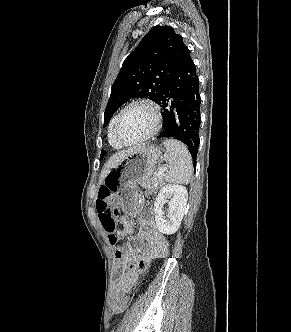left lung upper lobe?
<instances>
[{
	"mask_svg": "<svg viewBox=\"0 0 291 332\" xmlns=\"http://www.w3.org/2000/svg\"><path fill=\"white\" fill-rule=\"evenodd\" d=\"M185 49L182 36L172 27L152 28L123 62L111 87L104 127L116 110L131 98L144 97L157 103ZM105 154L102 150L101 157Z\"/></svg>",
	"mask_w": 291,
	"mask_h": 332,
	"instance_id": "5c2ea615",
	"label": "left lung upper lobe"
}]
</instances>
